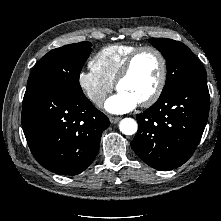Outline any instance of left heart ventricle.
<instances>
[{"instance_id":"1","label":"left heart ventricle","mask_w":221,"mask_h":221,"mask_svg":"<svg viewBox=\"0 0 221 221\" xmlns=\"http://www.w3.org/2000/svg\"><path fill=\"white\" fill-rule=\"evenodd\" d=\"M159 77V58L155 53L146 51L136 59L131 73L120 83L118 90L133 96L140 103L152 94Z\"/></svg>"}]
</instances>
